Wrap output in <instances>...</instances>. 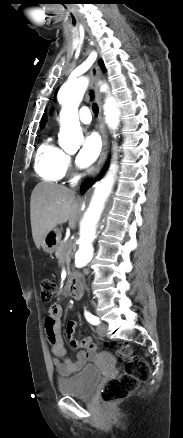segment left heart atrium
<instances>
[{"label":"left heart atrium","instance_id":"obj_1","mask_svg":"<svg viewBox=\"0 0 183 438\" xmlns=\"http://www.w3.org/2000/svg\"><path fill=\"white\" fill-rule=\"evenodd\" d=\"M101 151V140L96 133L86 136L77 158L80 167H88L96 161Z\"/></svg>","mask_w":183,"mask_h":438}]
</instances>
